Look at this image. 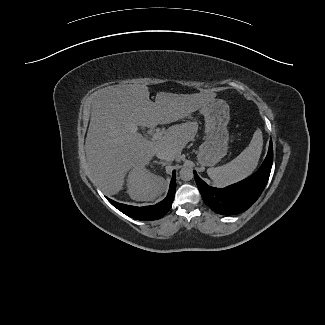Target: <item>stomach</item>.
<instances>
[{
  "label": "stomach",
  "instance_id": "stomach-1",
  "mask_svg": "<svg viewBox=\"0 0 325 325\" xmlns=\"http://www.w3.org/2000/svg\"><path fill=\"white\" fill-rule=\"evenodd\" d=\"M229 111V105L222 99H214L201 109L205 117L206 139L199 147L197 159L203 166H214L227 153Z\"/></svg>",
  "mask_w": 325,
  "mask_h": 325
}]
</instances>
